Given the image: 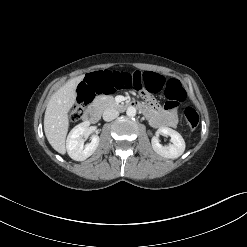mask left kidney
Instances as JSON below:
<instances>
[{
    "label": "left kidney",
    "instance_id": "obj_1",
    "mask_svg": "<svg viewBox=\"0 0 247 247\" xmlns=\"http://www.w3.org/2000/svg\"><path fill=\"white\" fill-rule=\"evenodd\" d=\"M166 135L171 137L172 144L162 146L159 143L158 135ZM153 150L162 157L176 159L181 156L185 150V141L182 136L175 130L168 127H160L157 134L152 138Z\"/></svg>",
    "mask_w": 247,
    "mask_h": 247
}]
</instances>
